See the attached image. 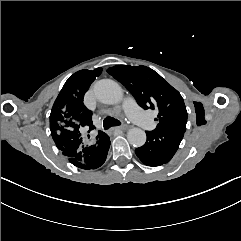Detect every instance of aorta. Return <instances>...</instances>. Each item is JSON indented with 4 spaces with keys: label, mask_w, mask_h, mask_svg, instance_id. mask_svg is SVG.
<instances>
[{
    "label": "aorta",
    "mask_w": 241,
    "mask_h": 241,
    "mask_svg": "<svg viewBox=\"0 0 241 241\" xmlns=\"http://www.w3.org/2000/svg\"><path fill=\"white\" fill-rule=\"evenodd\" d=\"M94 95L104 104H117L123 98V91L116 81L102 79L95 84ZM127 138L130 144L140 147L146 142V133L142 129L134 127L127 132Z\"/></svg>",
    "instance_id": "762f6f07"
}]
</instances>
